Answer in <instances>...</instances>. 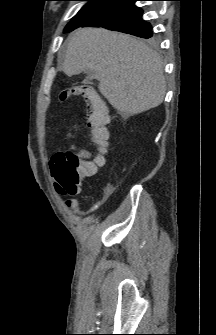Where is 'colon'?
Returning <instances> with one entry per match:
<instances>
[{
	"label": "colon",
	"instance_id": "5ec220e1",
	"mask_svg": "<svg viewBox=\"0 0 216 335\" xmlns=\"http://www.w3.org/2000/svg\"><path fill=\"white\" fill-rule=\"evenodd\" d=\"M71 96H81L87 102L86 123L93 138L97 140L92 158H107L109 146L105 139L109 134V121L106 105L96 97L91 87L85 84H78L62 91L59 99L64 101ZM105 164V159H87L81 164L78 155L72 149L56 153L50 161L52 175L56 180V190L62 195H76L80 185L85 184L84 178H96V172H101ZM68 205H72L71 201H68Z\"/></svg>",
	"mask_w": 216,
	"mask_h": 335
}]
</instances>
